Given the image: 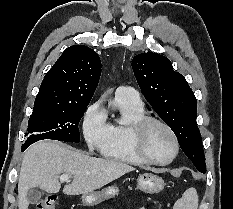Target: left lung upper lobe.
<instances>
[{
    "label": "left lung upper lobe",
    "mask_w": 233,
    "mask_h": 209,
    "mask_svg": "<svg viewBox=\"0 0 233 209\" xmlns=\"http://www.w3.org/2000/svg\"><path fill=\"white\" fill-rule=\"evenodd\" d=\"M132 69L145 99L173 130L185 155L205 172L196 98L184 76L174 71L168 58L152 52L136 55Z\"/></svg>",
    "instance_id": "5c2ea615"
}]
</instances>
